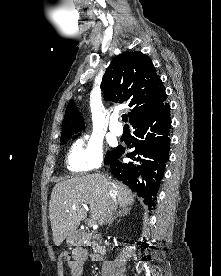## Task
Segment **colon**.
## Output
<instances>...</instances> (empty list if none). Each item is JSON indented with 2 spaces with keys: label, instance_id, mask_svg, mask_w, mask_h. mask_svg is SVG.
Instances as JSON below:
<instances>
[{
  "label": "colon",
  "instance_id": "5ec220e1",
  "mask_svg": "<svg viewBox=\"0 0 221 276\" xmlns=\"http://www.w3.org/2000/svg\"><path fill=\"white\" fill-rule=\"evenodd\" d=\"M59 259L62 262H69L71 260V254L67 251H64V252L60 253Z\"/></svg>",
  "mask_w": 221,
  "mask_h": 276
}]
</instances>
